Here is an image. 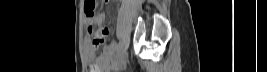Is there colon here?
<instances>
[{"label":"colon","instance_id":"1","mask_svg":"<svg viewBox=\"0 0 267 72\" xmlns=\"http://www.w3.org/2000/svg\"><path fill=\"white\" fill-rule=\"evenodd\" d=\"M100 3L101 2L98 0H88L84 8L86 15L88 17H93L98 11ZM88 30L90 35L93 36V45L95 47L101 46L104 43L106 37L104 29H93V27L90 26Z\"/></svg>","mask_w":267,"mask_h":72}]
</instances>
